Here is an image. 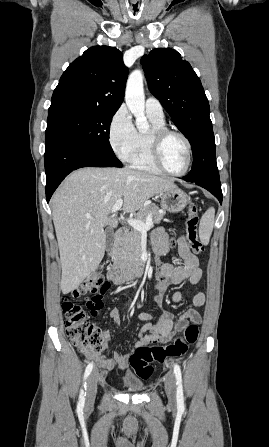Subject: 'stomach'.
<instances>
[{"mask_svg":"<svg viewBox=\"0 0 269 447\" xmlns=\"http://www.w3.org/2000/svg\"><path fill=\"white\" fill-rule=\"evenodd\" d=\"M161 206L167 212H172V214H177V212H182L186 208L189 200L188 196L179 190V188H170V190H164L161 194Z\"/></svg>","mask_w":269,"mask_h":447,"instance_id":"0dacf381","label":"stomach"}]
</instances>
